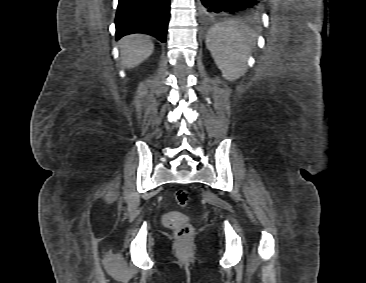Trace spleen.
I'll return each instance as SVG.
<instances>
[{
    "mask_svg": "<svg viewBox=\"0 0 366 283\" xmlns=\"http://www.w3.org/2000/svg\"><path fill=\"white\" fill-rule=\"evenodd\" d=\"M254 38L253 30L237 21L216 24L208 31L206 46L226 80L235 81L246 72Z\"/></svg>",
    "mask_w": 366,
    "mask_h": 283,
    "instance_id": "3e777b00",
    "label": "spleen"
}]
</instances>
